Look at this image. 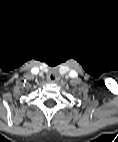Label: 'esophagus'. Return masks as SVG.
Here are the masks:
<instances>
[{"label": "esophagus", "mask_w": 118, "mask_h": 142, "mask_svg": "<svg viewBox=\"0 0 118 142\" xmlns=\"http://www.w3.org/2000/svg\"><path fill=\"white\" fill-rule=\"evenodd\" d=\"M48 80H49L50 82H55V81L57 80V78H56V76H54V75H49Z\"/></svg>", "instance_id": "34e87169"}]
</instances>
